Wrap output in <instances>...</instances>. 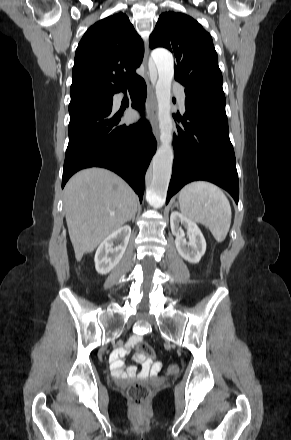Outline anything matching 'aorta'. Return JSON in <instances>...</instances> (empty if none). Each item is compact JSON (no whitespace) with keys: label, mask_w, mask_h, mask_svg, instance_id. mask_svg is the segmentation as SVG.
I'll return each mask as SVG.
<instances>
[{"label":"aorta","mask_w":291,"mask_h":440,"mask_svg":"<svg viewBox=\"0 0 291 440\" xmlns=\"http://www.w3.org/2000/svg\"><path fill=\"white\" fill-rule=\"evenodd\" d=\"M151 57L158 71L156 97L161 144L152 160L147 199L152 206L158 208L164 204L166 199L174 159L172 147L174 126L171 116V84L174 77V59L172 54L165 49L154 50Z\"/></svg>","instance_id":"762f6f07"}]
</instances>
